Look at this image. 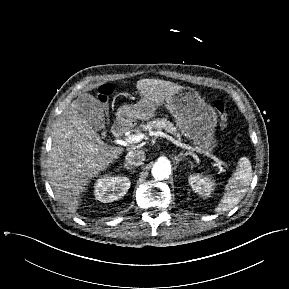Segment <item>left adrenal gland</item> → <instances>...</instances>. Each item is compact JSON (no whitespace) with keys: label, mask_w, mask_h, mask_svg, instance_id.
Here are the masks:
<instances>
[{"label":"left adrenal gland","mask_w":289,"mask_h":289,"mask_svg":"<svg viewBox=\"0 0 289 289\" xmlns=\"http://www.w3.org/2000/svg\"><path fill=\"white\" fill-rule=\"evenodd\" d=\"M176 164H178L180 161H182V157L179 158V156H175Z\"/></svg>","instance_id":"1"}]
</instances>
